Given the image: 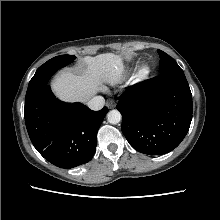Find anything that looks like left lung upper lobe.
<instances>
[{
  "label": "left lung upper lobe",
  "mask_w": 220,
  "mask_h": 220,
  "mask_svg": "<svg viewBox=\"0 0 220 220\" xmlns=\"http://www.w3.org/2000/svg\"><path fill=\"white\" fill-rule=\"evenodd\" d=\"M160 56V74L182 72L183 70L179 67L176 61L165 52L158 50Z\"/></svg>",
  "instance_id": "5c2ea615"
}]
</instances>
